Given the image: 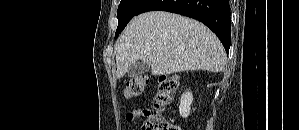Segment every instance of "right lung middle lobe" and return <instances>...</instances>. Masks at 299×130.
<instances>
[{"instance_id":"1","label":"right lung middle lobe","mask_w":299,"mask_h":130,"mask_svg":"<svg viewBox=\"0 0 299 130\" xmlns=\"http://www.w3.org/2000/svg\"><path fill=\"white\" fill-rule=\"evenodd\" d=\"M147 0H121L117 11L118 27L115 33V38L125 28L127 23L134 17L138 10Z\"/></svg>"}]
</instances>
